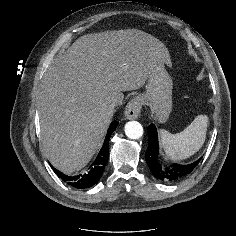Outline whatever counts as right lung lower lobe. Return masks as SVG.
Segmentation results:
<instances>
[{"label":"right lung lower lobe","instance_id":"98d812e1","mask_svg":"<svg viewBox=\"0 0 236 236\" xmlns=\"http://www.w3.org/2000/svg\"><path fill=\"white\" fill-rule=\"evenodd\" d=\"M118 126V122H112L109 126V129L107 131V135L104 141V144L96 158V160L92 163V165L89 168V171H87L85 174H80L76 176H67L63 174L62 172L56 170L53 166L54 172L60 177L64 182H66L68 185L77 188V189H84L89 188L93 186L98 180L100 179L105 165L108 160V154H109V139L111 134L114 132L116 127Z\"/></svg>","mask_w":236,"mask_h":236}]
</instances>
